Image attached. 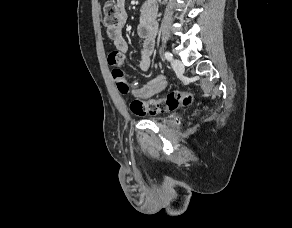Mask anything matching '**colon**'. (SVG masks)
<instances>
[{
	"label": "colon",
	"mask_w": 292,
	"mask_h": 228,
	"mask_svg": "<svg viewBox=\"0 0 292 228\" xmlns=\"http://www.w3.org/2000/svg\"><path fill=\"white\" fill-rule=\"evenodd\" d=\"M120 22V9L115 0H108L103 6V23L106 28L114 27ZM123 59L122 56L112 51L108 55V63L114 69L113 75L122 93L129 91V85L126 82L123 72L120 70ZM193 96L185 91H172L166 96L152 99L148 102L134 99L130 103L131 111L136 115H145L146 113L165 112L179 108L180 106L189 105Z\"/></svg>",
	"instance_id": "5ec220e1"
}]
</instances>
